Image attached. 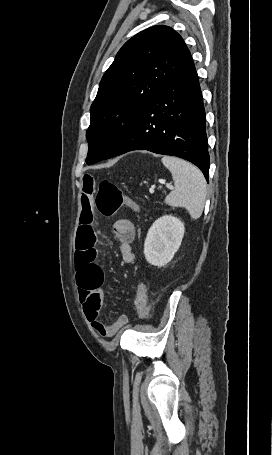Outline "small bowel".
<instances>
[{
  "instance_id": "1",
  "label": "small bowel",
  "mask_w": 272,
  "mask_h": 455,
  "mask_svg": "<svg viewBox=\"0 0 272 455\" xmlns=\"http://www.w3.org/2000/svg\"><path fill=\"white\" fill-rule=\"evenodd\" d=\"M96 187V180L92 174L82 177L81 216L76 240V269L80 299L85 315L92 327L104 337H112L126 324L127 317L120 316L110 325L100 319L103 302L102 284L104 273L96 262L95 249L97 232L94 227L93 211L90 197ZM113 232L119 244L120 253L125 263H132L135 254L132 243L135 237V228L131 221L119 219L113 224Z\"/></svg>"
}]
</instances>
